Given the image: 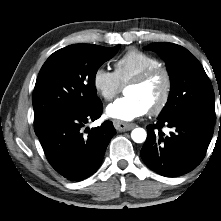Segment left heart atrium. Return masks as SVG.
I'll list each match as a JSON object with an SVG mask.
<instances>
[{
	"mask_svg": "<svg viewBox=\"0 0 221 221\" xmlns=\"http://www.w3.org/2000/svg\"><path fill=\"white\" fill-rule=\"evenodd\" d=\"M107 115L119 121H132L148 112L147 106L136 97H123L107 106Z\"/></svg>",
	"mask_w": 221,
	"mask_h": 221,
	"instance_id": "39dd6f15",
	"label": "left heart atrium"
}]
</instances>
